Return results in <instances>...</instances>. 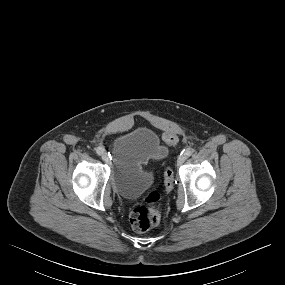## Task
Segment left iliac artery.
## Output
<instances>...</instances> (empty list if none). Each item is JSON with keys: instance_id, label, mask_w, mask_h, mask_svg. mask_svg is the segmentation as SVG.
I'll return each mask as SVG.
<instances>
[{"instance_id": "obj_1", "label": "left iliac artery", "mask_w": 285, "mask_h": 285, "mask_svg": "<svg viewBox=\"0 0 285 285\" xmlns=\"http://www.w3.org/2000/svg\"><path fill=\"white\" fill-rule=\"evenodd\" d=\"M192 152H193V149H192V148H187L186 150H183V152L181 153V155L184 154V155H186V156H190V155L192 154Z\"/></svg>"}]
</instances>
